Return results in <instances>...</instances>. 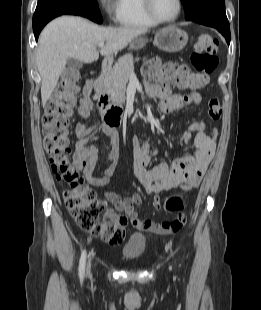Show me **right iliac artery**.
Returning <instances> with one entry per match:
<instances>
[{
    "label": "right iliac artery",
    "mask_w": 261,
    "mask_h": 310,
    "mask_svg": "<svg viewBox=\"0 0 261 310\" xmlns=\"http://www.w3.org/2000/svg\"><path fill=\"white\" fill-rule=\"evenodd\" d=\"M85 263H86V251L84 250L81 254L80 263H79V277L80 281L83 280L85 275Z\"/></svg>",
    "instance_id": "right-iliac-artery-1"
}]
</instances>
